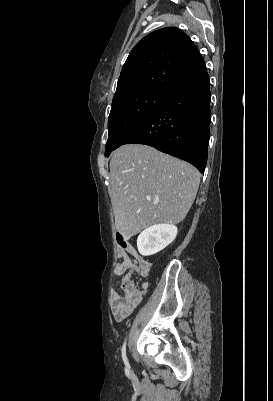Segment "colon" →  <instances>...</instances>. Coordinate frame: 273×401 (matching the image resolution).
<instances>
[{
	"mask_svg": "<svg viewBox=\"0 0 273 401\" xmlns=\"http://www.w3.org/2000/svg\"><path fill=\"white\" fill-rule=\"evenodd\" d=\"M118 255L120 257H125L126 251L120 250ZM151 268V261H140L137 269L135 261H122L119 273L121 276H125V279L123 280V284H118L117 288H114V297H125L126 293H131V295L134 297H141L143 294V285L137 284V280L135 278H131V275H129L130 270L136 269L137 276H148Z\"/></svg>",
	"mask_w": 273,
	"mask_h": 401,
	"instance_id": "colon-1",
	"label": "colon"
}]
</instances>
